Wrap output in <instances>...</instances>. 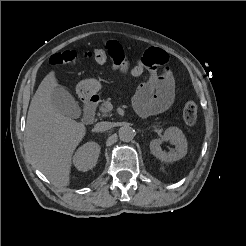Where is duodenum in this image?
<instances>
[{"mask_svg": "<svg viewBox=\"0 0 246 246\" xmlns=\"http://www.w3.org/2000/svg\"><path fill=\"white\" fill-rule=\"evenodd\" d=\"M97 95H89L84 97V108L82 120L86 124H90L94 120L95 109L98 102Z\"/></svg>", "mask_w": 246, "mask_h": 246, "instance_id": "obj_1", "label": "duodenum"}]
</instances>
